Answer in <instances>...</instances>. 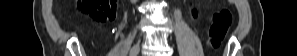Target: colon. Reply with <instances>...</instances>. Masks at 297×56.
Returning <instances> with one entry per match:
<instances>
[{"instance_id": "obj_1", "label": "colon", "mask_w": 297, "mask_h": 56, "mask_svg": "<svg viewBox=\"0 0 297 56\" xmlns=\"http://www.w3.org/2000/svg\"><path fill=\"white\" fill-rule=\"evenodd\" d=\"M79 9L88 13L98 22H106L113 19L115 14L114 0H81L78 3ZM232 22V14L228 9H222L213 16V23L210 28L209 45L217 49L226 36Z\"/></svg>"}]
</instances>
